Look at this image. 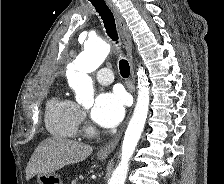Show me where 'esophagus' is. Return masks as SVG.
<instances>
[{"instance_id":"1","label":"esophagus","mask_w":224,"mask_h":184,"mask_svg":"<svg viewBox=\"0 0 224 184\" xmlns=\"http://www.w3.org/2000/svg\"><path fill=\"white\" fill-rule=\"evenodd\" d=\"M109 7L111 8L121 38L123 40L126 52H127V56H128V61H129V65H130V85H129V89L130 91L134 94L135 93V74H134V65H133V55H132V39H131V34L127 28L126 22L119 10V8L116 6V4L112 1V0H106ZM128 120V119H127ZM126 122L124 123V125L119 129V131L117 132V134L105 145L103 146L99 151H98V155L100 156H108L117 146L123 131L125 129L126 126Z\"/></svg>"}]
</instances>
